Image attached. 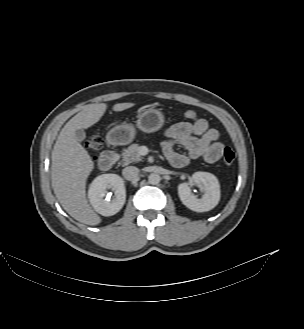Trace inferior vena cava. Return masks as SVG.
<instances>
[{"mask_svg":"<svg viewBox=\"0 0 304 329\" xmlns=\"http://www.w3.org/2000/svg\"><path fill=\"white\" fill-rule=\"evenodd\" d=\"M139 169L135 166L125 167L122 174L126 180H133L138 176Z\"/></svg>","mask_w":304,"mask_h":329,"instance_id":"inferior-vena-cava-1","label":"inferior vena cava"}]
</instances>
